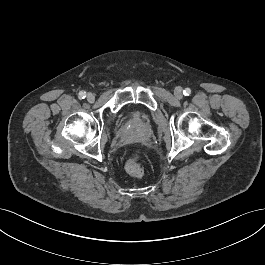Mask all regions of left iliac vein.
Here are the masks:
<instances>
[{
    "label": "left iliac vein",
    "instance_id": "4c4485c4",
    "mask_svg": "<svg viewBox=\"0 0 265 265\" xmlns=\"http://www.w3.org/2000/svg\"><path fill=\"white\" fill-rule=\"evenodd\" d=\"M174 95L176 96V98L180 99L183 96V90L181 87H176L174 90Z\"/></svg>",
    "mask_w": 265,
    "mask_h": 265
}]
</instances>
